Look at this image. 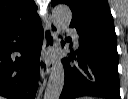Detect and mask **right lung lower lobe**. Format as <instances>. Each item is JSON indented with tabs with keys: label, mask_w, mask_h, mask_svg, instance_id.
<instances>
[{
	"label": "right lung lower lobe",
	"mask_w": 128,
	"mask_h": 99,
	"mask_svg": "<svg viewBox=\"0 0 128 99\" xmlns=\"http://www.w3.org/2000/svg\"><path fill=\"white\" fill-rule=\"evenodd\" d=\"M43 34L38 16L0 36L1 96L35 99ZM12 52H19L21 57L12 58Z\"/></svg>",
	"instance_id": "right-lung-lower-lobe-1"
}]
</instances>
